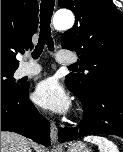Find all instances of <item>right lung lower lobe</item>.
Here are the masks:
<instances>
[{
	"mask_svg": "<svg viewBox=\"0 0 123 152\" xmlns=\"http://www.w3.org/2000/svg\"><path fill=\"white\" fill-rule=\"evenodd\" d=\"M29 85L1 91V131H12L48 147L50 124L29 100Z\"/></svg>",
	"mask_w": 123,
	"mask_h": 152,
	"instance_id": "98d812e1",
	"label": "right lung lower lobe"
}]
</instances>
